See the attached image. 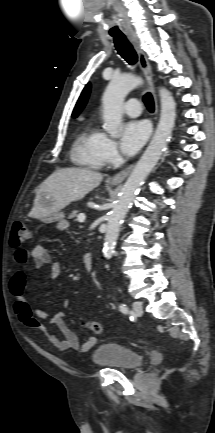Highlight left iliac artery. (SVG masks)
<instances>
[{
  "mask_svg": "<svg viewBox=\"0 0 215 433\" xmlns=\"http://www.w3.org/2000/svg\"><path fill=\"white\" fill-rule=\"evenodd\" d=\"M120 311L122 313H128L129 312L128 307L125 304L120 305Z\"/></svg>",
  "mask_w": 215,
  "mask_h": 433,
  "instance_id": "obj_1",
  "label": "left iliac artery"
}]
</instances>
